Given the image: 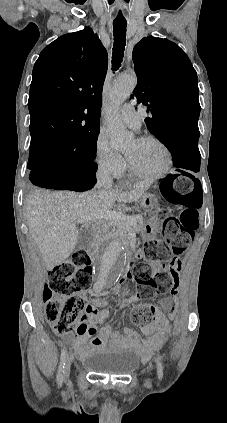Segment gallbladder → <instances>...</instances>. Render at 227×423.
I'll return each mask as SVG.
<instances>
[{
    "label": "gallbladder",
    "mask_w": 227,
    "mask_h": 423,
    "mask_svg": "<svg viewBox=\"0 0 227 423\" xmlns=\"http://www.w3.org/2000/svg\"><path fill=\"white\" fill-rule=\"evenodd\" d=\"M95 231L91 225H86V227H82L79 231V237L77 239V243L75 245V251H79V249H86L90 243H92L94 239Z\"/></svg>",
    "instance_id": "gallbladder-1"
}]
</instances>
